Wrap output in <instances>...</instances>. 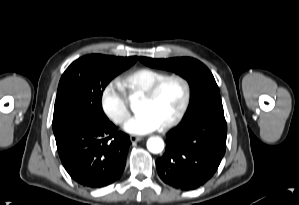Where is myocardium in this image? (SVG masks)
Wrapping results in <instances>:
<instances>
[{"label":"myocardium","instance_id":"myocardium-1","mask_svg":"<svg viewBox=\"0 0 299 205\" xmlns=\"http://www.w3.org/2000/svg\"><path fill=\"white\" fill-rule=\"evenodd\" d=\"M170 81H178L179 83H181L184 90V96L178 112L173 118H171L169 121L161 125L160 128L162 130H167L176 126L184 118L189 108L191 97H192V89H191L190 82L185 77L178 74L167 75L162 79L158 80L157 82H155L150 88H148L145 92H143L140 95V100L146 102L151 101L158 95V93L162 90V88Z\"/></svg>","mask_w":299,"mask_h":205}]
</instances>
